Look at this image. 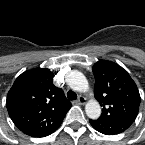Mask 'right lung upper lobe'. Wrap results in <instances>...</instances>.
Instances as JSON below:
<instances>
[{
	"label": "right lung upper lobe",
	"instance_id": "1",
	"mask_svg": "<svg viewBox=\"0 0 145 145\" xmlns=\"http://www.w3.org/2000/svg\"><path fill=\"white\" fill-rule=\"evenodd\" d=\"M53 73L35 68L22 73L8 92L6 106L14 124L31 137H43L62 123L71 103L55 87Z\"/></svg>",
	"mask_w": 145,
	"mask_h": 145
}]
</instances>
